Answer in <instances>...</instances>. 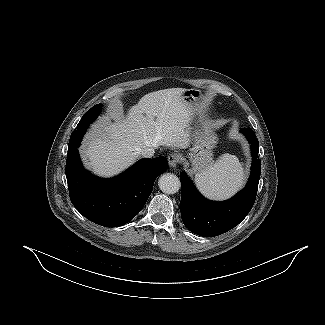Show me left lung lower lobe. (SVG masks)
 <instances>
[{
    "mask_svg": "<svg viewBox=\"0 0 325 325\" xmlns=\"http://www.w3.org/2000/svg\"><path fill=\"white\" fill-rule=\"evenodd\" d=\"M251 144V175L246 187L229 200L215 202L201 196L185 172L180 175V211L184 225L203 237L223 234L238 225L250 212L256 198L261 172L259 143L251 128L240 130Z\"/></svg>",
    "mask_w": 325,
    "mask_h": 325,
    "instance_id": "1",
    "label": "left lung lower lobe"
}]
</instances>
